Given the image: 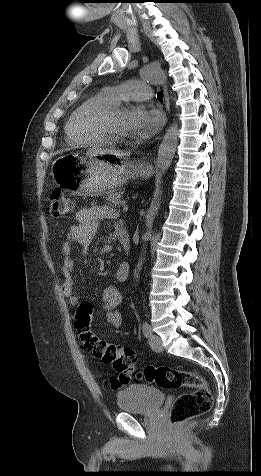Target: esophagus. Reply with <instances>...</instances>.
I'll return each instance as SVG.
<instances>
[{
	"label": "esophagus",
	"instance_id": "esophagus-1",
	"mask_svg": "<svg viewBox=\"0 0 261 476\" xmlns=\"http://www.w3.org/2000/svg\"><path fill=\"white\" fill-rule=\"evenodd\" d=\"M164 99H165V104H166V110L169 111V98H168L166 88H164Z\"/></svg>",
	"mask_w": 261,
	"mask_h": 476
}]
</instances>
